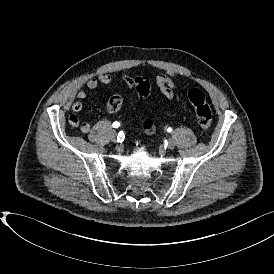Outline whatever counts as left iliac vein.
<instances>
[{
    "label": "left iliac vein",
    "instance_id": "1",
    "mask_svg": "<svg viewBox=\"0 0 274 274\" xmlns=\"http://www.w3.org/2000/svg\"><path fill=\"white\" fill-rule=\"evenodd\" d=\"M166 147L168 149H173L175 147V141L173 139H169Z\"/></svg>",
    "mask_w": 274,
    "mask_h": 274
}]
</instances>
